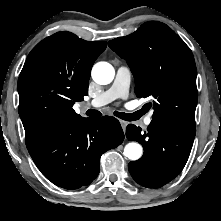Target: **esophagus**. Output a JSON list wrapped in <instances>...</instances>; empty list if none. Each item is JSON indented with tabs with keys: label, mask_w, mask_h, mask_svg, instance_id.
I'll return each mask as SVG.
<instances>
[{
	"label": "esophagus",
	"mask_w": 221,
	"mask_h": 221,
	"mask_svg": "<svg viewBox=\"0 0 221 221\" xmlns=\"http://www.w3.org/2000/svg\"><path fill=\"white\" fill-rule=\"evenodd\" d=\"M120 123H121V126H122L123 130H125L128 123L126 121H123V120H120Z\"/></svg>",
	"instance_id": "34e87169"
}]
</instances>
